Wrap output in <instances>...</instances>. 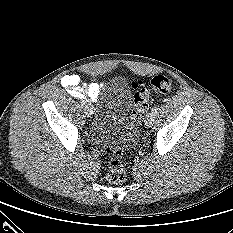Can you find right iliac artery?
Here are the masks:
<instances>
[{"instance_id": "obj_1", "label": "right iliac artery", "mask_w": 233, "mask_h": 233, "mask_svg": "<svg viewBox=\"0 0 233 233\" xmlns=\"http://www.w3.org/2000/svg\"><path fill=\"white\" fill-rule=\"evenodd\" d=\"M80 103H81V106H86V102L84 100H81Z\"/></svg>"}]
</instances>
